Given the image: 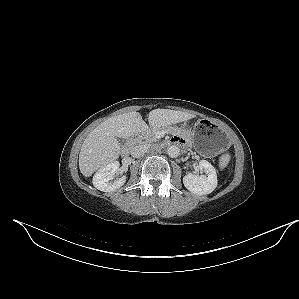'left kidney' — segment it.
I'll use <instances>...</instances> for the list:
<instances>
[{
	"label": "left kidney",
	"instance_id": "left-kidney-1",
	"mask_svg": "<svg viewBox=\"0 0 299 299\" xmlns=\"http://www.w3.org/2000/svg\"><path fill=\"white\" fill-rule=\"evenodd\" d=\"M199 168L206 175H195L188 173L183 177L184 186L193 194H210L217 187V174L215 168L206 160L199 162Z\"/></svg>",
	"mask_w": 299,
	"mask_h": 299
}]
</instances>
